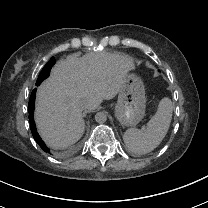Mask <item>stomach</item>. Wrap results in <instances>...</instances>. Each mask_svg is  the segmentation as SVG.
<instances>
[{
  "label": "stomach",
  "mask_w": 208,
  "mask_h": 208,
  "mask_svg": "<svg viewBox=\"0 0 208 208\" xmlns=\"http://www.w3.org/2000/svg\"><path fill=\"white\" fill-rule=\"evenodd\" d=\"M114 117L124 127L140 123L146 113V98L143 83L134 75H129L121 86Z\"/></svg>",
  "instance_id": "1"
}]
</instances>
